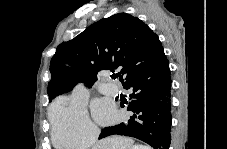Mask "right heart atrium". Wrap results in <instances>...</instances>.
Returning <instances> with one entry per match:
<instances>
[{
	"label": "right heart atrium",
	"instance_id": "obj_1",
	"mask_svg": "<svg viewBox=\"0 0 227 149\" xmlns=\"http://www.w3.org/2000/svg\"><path fill=\"white\" fill-rule=\"evenodd\" d=\"M53 144L62 149L92 145L99 129L85 105L74 98H58L49 110Z\"/></svg>",
	"mask_w": 227,
	"mask_h": 149
}]
</instances>
